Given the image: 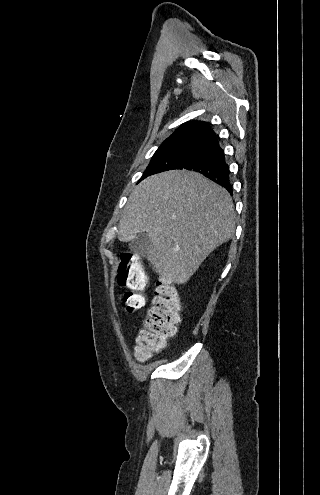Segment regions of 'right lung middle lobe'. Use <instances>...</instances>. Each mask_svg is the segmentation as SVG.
Returning <instances> with one entry per match:
<instances>
[{
    "label": "right lung middle lobe",
    "mask_w": 320,
    "mask_h": 495,
    "mask_svg": "<svg viewBox=\"0 0 320 495\" xmlns=\"http://www.w3.org/2000/svg\"><path fill=\"white\" fill-rule=\"evenodd\" d=\"M205 143L206 141L202 140H178L162 144L140 180L159 172L178 169Z\"/></svg>",
    "instance_id": "1"
}]
</instances>
